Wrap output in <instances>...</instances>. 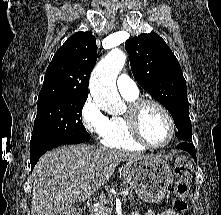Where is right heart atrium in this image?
I'll return each mask as SVG.
<instances>
[{"label":"right heart atrium","instance_id":"right-heart-atrium-1","mask_svg":"<svg viewBox=\"0 0 221 215\" xmlns=\"http://www.w3.org/2000/svg\"><path fill=\"white\" fill-rule=\"evenodd\" d=\"M82 124L91 135L102 138L108 130V117L92 96H88L80 111Z\"/></svg>","mask_w":221,"mask_h":215}]
</instances>
